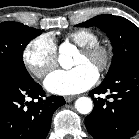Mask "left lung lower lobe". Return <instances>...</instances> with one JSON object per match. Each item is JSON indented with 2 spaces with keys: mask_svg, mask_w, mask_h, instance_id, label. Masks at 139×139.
<instances>
[{
  "mask_svg": "<svg viewBox=\"0 0 139 139\" xmlns=\"http://www.w3.org/2000/svg\"><path fill=\"white\" fill-rule=\"evenodd\" d=\"M110 92L107 101L94 94ZM94 109L85 119L95 139H129L139 129V60L122 68L113 78L90 91Z\"/></svg>",
  "mask_w": 139,
  "mask_h": 139,
  "instance_id": "0a47b994",
  "label": "left lung lower lobe"
}]
</instances>
